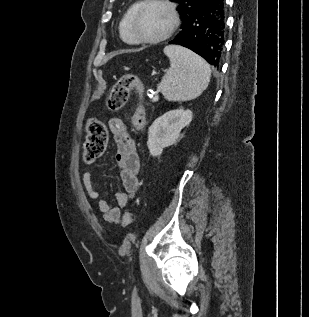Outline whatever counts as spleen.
<instances>
[{"label": "spleen", "mask_w": 309, "mask_h": 317, "mask_svg": "<svg viewBox=\"0 0 309 317\" xmlns=\"http://www.w3.org/2000/svg\"><path fill=\"white\" fill-rule=\"evenodd\" d=\"M163 51L170 60V67L158 85L165 99L189 101L199 97L210 82L209 64L199 55L178 45H168Z\"/></svg>", "instance_id": "1"}]
</instances>
